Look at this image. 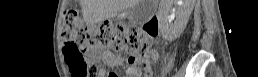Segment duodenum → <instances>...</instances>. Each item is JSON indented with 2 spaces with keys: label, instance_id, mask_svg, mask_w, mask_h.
I'll return each instance as SVG.
<instances>
[{
  "label": "duodenum",
  "instance_id": "1",
  "mask_svg": "<svg viewBox=\"0 0 258 77\" xmlns=\"http://www.w3.org/2000/svg\"><path fill=\"white\" fill-rule=\"evenodd\" d=\"M147 31L149 33H151L153 36H157L158 35L159 28H158V22H157L156 19H151L147 23Z\"/></svg>",
  "mask_w": 258,
  "mask_h": 77
}]
</instances>
